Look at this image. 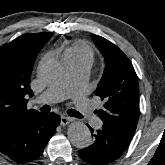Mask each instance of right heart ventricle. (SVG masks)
I'll return each instance as SVG.
<instances>
[{
	"mask_svg": "<svg viewBox=\"0 0 165 165\" xmlns=\"http://www.w3.org/2000/svg\"><path fill=\"white\" fill-rule=\"evenodd\" d=\"M63 60L68 63H88L94 60L93 49L82 41H76L67 46L62 53Z\"/></svg>",
	"mask_w": 165,
	"mask_h": 165,
	"instance_id": "1",
	"label": "right heart ventricle"
}]
</instances>
